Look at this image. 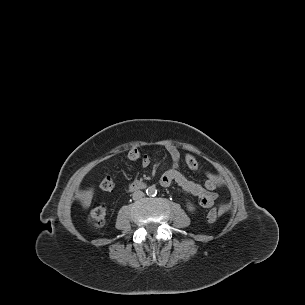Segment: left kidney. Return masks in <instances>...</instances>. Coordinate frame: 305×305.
<instances>
[{
  "label": "left kidney",
  "mask_w": 305,
  "mask_h": 305,
  "mask_svg": "<svg viewBox=\"0 0 305 305\" xmlns=\"http://www.w3.org/2000/svg\"><path fill=\"white\" fill-rule=\"evenodd\" d=\"M187 209L189 211L193 212V211H195V206L192 203L188 202L187 203Z\"/></svg>",
  "instance_id": "5707ae66"
}]
</instances>
